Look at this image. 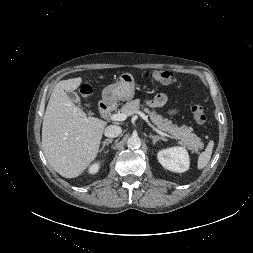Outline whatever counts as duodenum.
Wrapping results in <instances>:
<instances>
[{
  "label": "duodenum",
  "instance_id": "obj_1",
  "mask_svg": "<svg viewBox=\"0 0 253 253\" xmlns=\"http://www.w3.org/2000/svg\"><path fill=\"white\" fill-rule=\"evenodd\" d=\"M99 110L102 115H107L112 110V104L109 101H102Z\"/></svg>",
  "mask_w": 253,
  "mask_h": 253
}]
</instances>
